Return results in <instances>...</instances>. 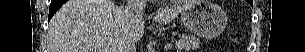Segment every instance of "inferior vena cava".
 Here are the masks:
<instances>
[{"mask_svg": "<svg viewBox=\"0 0 305 52\" xmlns=\"http://www.w3.org/2000/svg\"><path fill=\"white\" fill-rule=\"evenodd\" d=\"M146 8V0H127L123 8V14L127 23L132 24L138 21L139 17L144 13ZM135 41L130 36L123 37L119 44L117 52H135Z\"/></svg>", "mask_w": 305, "mask_h": 52, "instance_id": "602c4592", "label": "inferior vena cava"}]
</instances>
